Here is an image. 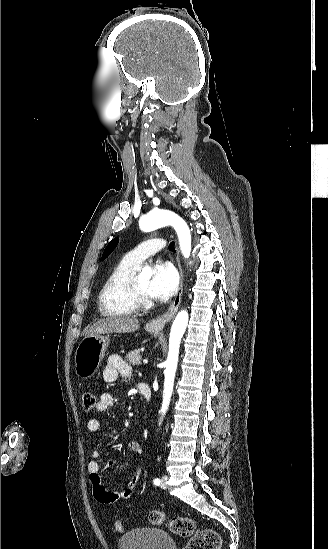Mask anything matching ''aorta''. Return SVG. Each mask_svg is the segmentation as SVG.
<instances>
[{
	"label": "aorta",
	"instance_id": "762f6f07",
	"mask_svg": "<svg viewBox=\"0 0 328 549\" xmlns=\"http://www.w3.org/2000/svg\"><path fill=\"white\" fill-rule=\"evenodd\" d=\"M172 226L178 236L181 252L185 258L190 256L191 252V233L187 223L177 214L169 210H153L139 220V227L144 232H151L165 226ZM152 271L150 268H144L140 273V278L150 279ZM188 324V312L180 311L175 317L169 336V351L164 371V390L161 407L162 415H165L173 392L174 378L178 365L180 342Z\"/></svg>",
	"mask_w": 328,
	"mask_h": 549
}]
</instances>
